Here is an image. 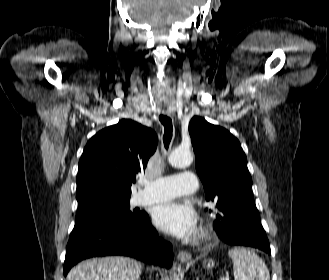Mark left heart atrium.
Wrapping results in <instances>:
<instances>
[{"label":"left heart atrium","mask_w":329,"mask_h":280,"mask_svg":"<svg viewBox=\"0 0 329 280\" xmlns=\"http://www.w3.org/2000/svg\"><path fill=\"white\" fill-rule=\"evenodd\" d=\"M156 226L177 238L192 239L197 234V216L188 206L177 201L159 205L154 211Z\"/></svg>","instance_id":"1"}]
</instances>
